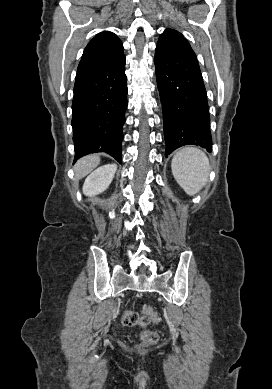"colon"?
I'll return each instance as SVG.
<instances>
[{
	"instance_id": "colon-1",
	"label": "colon",
	"mask_w": 272,
	"mask_h": 389,
	"mask_svg": "<svg viewBox=\"0 0 272 389\" xmlns=\"http://www.w3.org/2000/svg\"><path fill=\"white\" fill-rule=\"evenodd\" d=\"M153 319H155V315L150 308H145L142 314L126 310L121 315V323L124 326L132 327L140 325L143 327V331L141 332V345L144 347L153 346L159 339L156 331L147 328Z\"/></svg>"
}]
</instances>
